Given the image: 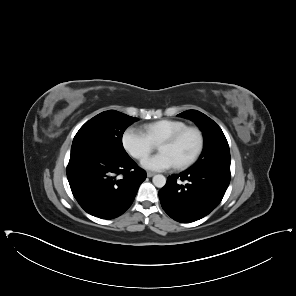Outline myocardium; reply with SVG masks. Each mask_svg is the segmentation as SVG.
I'll return each mask as SVG.
<instances>
[{
  "label": "myocardium",
  "instance_id": "obj_1",
  "mask_svg": "<svg viewBox=\"0 0 296 296\" xmlns=\"http://www.w3.org/2000/svg\"><path fill=\"white\" fill-rule=\"evenodd\" d=\"M194 134L196 136V145L194 150L192 151V153L179 161H176L175 164L179 167L188 165L190 163H192L201 153L202 149H203V145H204V138L202 135V132L195 127H188L185 130L175 134L174 136H172L170 139H168L162 146H161V150L165 151L175 145H177L180 141H182L188 134Z\"/></svg>",
  "mask_w": 296,
  "mask_h": 296
}]
</instances>
